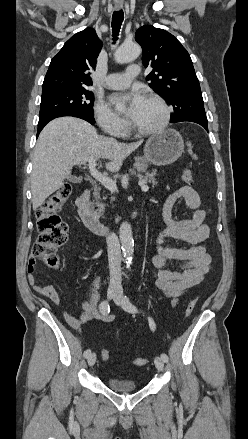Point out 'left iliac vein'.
<instances>
[{"label": "left iliac vein", "mask_w": 248, "mask_h": 439, "mask_svg": "<svg viewBox=\"0 0 248 439\" xmlns=\"http://www.w3.org/2000/svg\"><path fill=\"white\" fill-rule=\"evenodd\" d=\"M114 301L117 305L122 306L124 305V301H125V297L123 296L122 293L118 292L116 297L114 298ZM154 364L156 366V368L159 371H163L164 370V361L162 360L161 357H155L154 358Z\"/></svg>", "instance_id": "obj_1"}]
</instances>
